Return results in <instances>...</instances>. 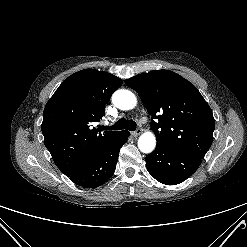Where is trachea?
<instances>
[{"label":"trachea","mask_w":247,"mask_h":247,"mask_svg":"<svg viewBox=\"0 0 247 247\" xmlns=\"http://www.w3.org/2000/svg\"><path fill=\"white\" fill-rule=\"evenodd\" d=\"M127 129L130 131H134L136 129V122L133 120H126L124 118L118 120L113 126H102V130H121Z\"/></svg>","instance_id":"trachea-1"}]
</instances>
